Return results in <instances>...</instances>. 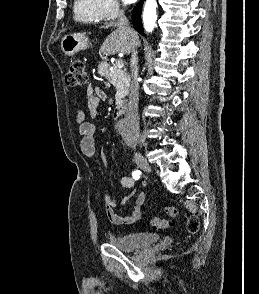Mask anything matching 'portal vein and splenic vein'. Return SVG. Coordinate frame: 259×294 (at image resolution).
<instances>
[{
    "mask_svg": "<svg viewBox=\"0 0 259 294\" xmlns=\"http://www.w3.org/2000/svg\"><path fill=\"white\" fill-rule=\"evenodd\" d=\"M115 66H116L117 68L121 69V68L124 67V63H123L122 60H118V61H116Z\"/></svg>",
    "mask_w": 259,
    "mask_h": 294,
    "instance_id": "1",
    "label": "portal vein and splenic vein"
}]
</instances>
